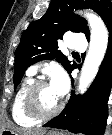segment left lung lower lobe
Returning a JSON list of instances; mask_svg holds the SVG:
<instances>
[{
  "mask_svg": "<svg viewBox=\"0 0 112 135\" xmlns=\"http://www.w3.org/2000/svg\"><path fill=\"white\" fill-rule=\"evenodd\" d=\"M106 26L109 31L107 51L89 90L82 96H76L72 92L64 110L43 125L44 127L66 129L86 135L104 134L108 117L107 101L112 86V18Z\"/></svg>",
  "mask_w": 112,
  "mask_h": 135,
  "instance_id": "1",
  "label": "left lung lower lobe"
}]
</instances>
